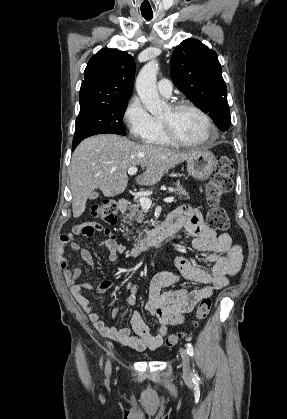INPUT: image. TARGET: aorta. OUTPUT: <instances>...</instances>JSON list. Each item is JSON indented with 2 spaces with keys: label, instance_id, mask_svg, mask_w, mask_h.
Returning <instances> with one entry per match:
<instances>
[{
  "label": "aorta",
  "instance_id": "aorta-1",
  "mask_svg": "<svg viewBox=\"0 0 287 419\" xmlns=\"http://www.w3.org/2000/svg\"><path fill=\"white\" fill-rule=\"evenodd\" d=\"M158 70L157 60L152 59L142 67L136 79L138 96L152 115H158L164 109V103L159 97L156 85Z\"/></svg>",
  "mask_w": 287,
  "mask_h": 419
}]
</instances>
